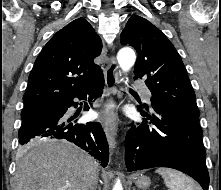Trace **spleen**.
<instances>
[{"label": "spleen", "mask_w": 221, "mask_h": 190, "mask_svg": "<svg viewBox=\"0 0 221 190\" xmlns=\"http://www.w3.org/2000/svg\"><path fill=\"white\" fill-rule=\"evenodd\" d=\"M155 172L162 176L169 190H201L191 178L175 169L161 167Z\"/></svg>", "instance_id": "obj_1"}]
</instances>
